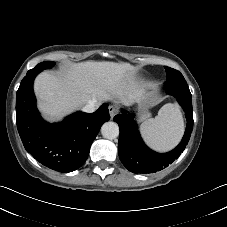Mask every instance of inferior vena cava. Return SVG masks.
<instances>
[{
  "instance_id": "1",
  "label": "inferior vena cava",
  "mask_w": 227,
  "mask_h": 227,
  "mask_svg": "<svg viewBox=\"0 0 227 227\" xmlns=\"http://www.w3.org/2000/svg\"><path fill=\"white\" fill-rule=\"evenodd\" d=\"M98 108V103L95 102V101H91L89 102L88 104H86L84 107H83V111L86 112V113H92L94 112L96 109Z\"/></svg>"
}]
</instances>
